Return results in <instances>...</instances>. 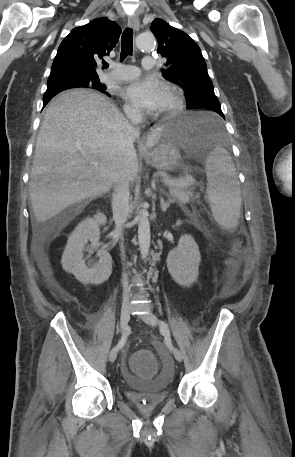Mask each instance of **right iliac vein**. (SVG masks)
<instances>
[{
  "instance_id": "obj_1",
  "label": "right iliac vein",
  "mask_w": 295,
  "mask_h": 457,
  "mask_svg": "<svg viewBox=\"0 0 295 457\" xmlns=\"http://www.w3.org/2000/svg\"><path fill=\"white\" fill-rule=\"evenodd\" d=\"M130 317V304L128 302L124 303L121 310L120 316V329L121 332H125ZM117 349L114 347L109 353V361L113 363L117 358Z\"/></svg>"
}]
</instances>
